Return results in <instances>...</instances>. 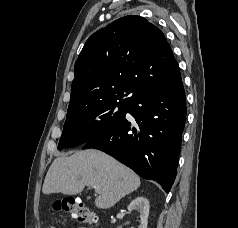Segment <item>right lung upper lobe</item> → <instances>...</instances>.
Wrapping results in <instances>:
<instances>
[{"label":"right lung upper lobe","mask_w":238,"mask_h":228,"mask_svg":"<svg viewBox=\"0 0 238 228\" xmlns=\"http://www.w3.org/2000/svg\"><path fill=\"white\" fill-rule=\"evenodd\" d=\"M74 75L67 114L100 102H128L181 77L162 31L134 15L91 35L75 63Z\"/></svg>","instance_id":"obj_1"}]
</instances>
